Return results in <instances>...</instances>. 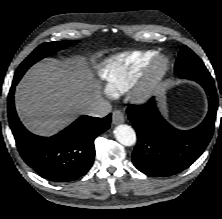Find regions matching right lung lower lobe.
I'll use <instances>...</instances> for the list:
<instances>
[{
    "mask_svg": "<svg viewBox=\"0 0 222 219\" xmlns=\"http://www.w3.org/2000/svg\"><path fill=\"white\" fill-rule=\"evenodd\" d=\"M17 83L13 80L9 92L8 118L23 160L40 176L54 182H70L85 175L94 161V140L110 127L111 114L104 118L82 116L54 136H37L22 125L16 114Z\"/></svg>",
    "mask_w": 222,
    "mask_h": 219,
    "instance_id": "obj_1",
    "label": "right lung lower lobe"
}]
</instances>
